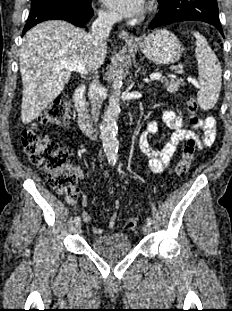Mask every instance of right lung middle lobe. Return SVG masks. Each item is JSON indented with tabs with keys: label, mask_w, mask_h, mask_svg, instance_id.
Returning <instances> with one entry per match:
<instances>
[{
	"label": "right lung middle lobe",
	"mask_w": 232,
	"mask_h": 311,
	"mask_svg": "<svg viewBox=\"0 0 232 311\" xmlns=\"http://www.w3.org/2000/svg\"><path fill=\"white\" fill-rule=\"evenodd\" d=\"M41 1H45V0H32V4H35V3H38ZM62 1L72 2V3H75V4L80 5V6L91 5V0H62Z\"/></svg>",
	"instance_id": "right-lung-middle-lobe-1"
}]
</instances>
